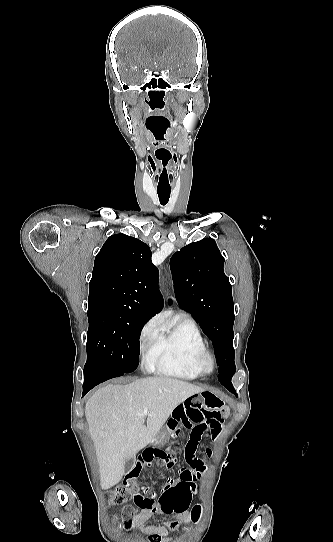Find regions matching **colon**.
<instances>
[{
  "instance_id": "5ec220e1",
  "label": "colon",
  "mask_w": 333,
  "mask_h": 542,
  "mask_svg": "<svg viewBox=\"0 0 333 542\" xmlns=\"http://www.w3.org/2000/svg\"><path fill=\"white\" fill-rule=\"evenodd\" d=\"M174 455H176L174 453ZM169 460V458H167ZM202 460L200 458H193L188 462V465H185L182 468V474L181 479L188 481L191 479L192 474L194 473V469H200L202 467ZM196 479L202 478L201 472L195 473ZM135 480H143L141 477H138ZM133 489H122L121 487H117L114 494L110 498L112 504H121L131 497H133L132 493ZM196 490L199 493H202L205 490V487L202 484H199L196 487ZM179 500V501H178ZM160 501L162 503V511L167 516H178L183 514V510H186L188 512V515L185 517V522L187 524H192L194 522V518H197L200 514V509L197 507H193L191 505L195 504L197 501V498L194 494V490L191 489L190 483H181L179 487H171V489H163L162 496L160 498ZM178 501V502H177ZM124 511L125 513L122 514L123 520L129 519L128 513H133L135 511V504L133 502H126L124 504ZM150 542H158L159 539H157L155 533L149 534Z\"/></svg>"
}]
</instances>
